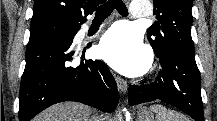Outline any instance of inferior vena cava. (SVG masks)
<instances>
[{
	"instance_id": "1",
	"label": "inferior vena cava",
	"mask_w": 217,
	"mask_h": 121,
	"mask_svg": "<svg viewBox=\"0 0 217 121\" xmlns=\"http://www.w3.org/2000/svg\"><path fill=\"white\" fill-rule=\"evenodd\" d=\"M98 119H97V117H93V119H92V121H97Z\"/></svg>"
}]
</instances>
